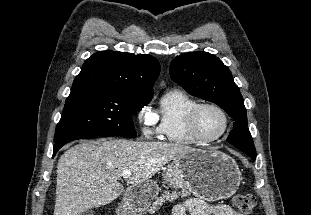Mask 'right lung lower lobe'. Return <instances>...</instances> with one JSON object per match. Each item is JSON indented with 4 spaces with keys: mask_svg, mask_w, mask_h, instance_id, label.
Masks as SVG:
<instances>
[{
    "mask_svg": "<svg viewBox=\"0 0 311 215\" xmlns=\"http://www.w3.org/2000/svg\"><path fill=\"white\" fill-rule=\"evenodd\" d=\"M68 142H70V141H68ZM68 142H63V143H60V144H56V145L54 146V149H53V157L55 156V154L57 153V151H58L64 144H66V143H68Z\"/></svg>",
    "mask_w": 311,
    "mask_h": 215,
    "instance_id": "obj_1",
    "label": "right lung lower lobe"
}]
</instances>
